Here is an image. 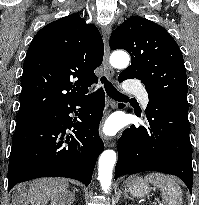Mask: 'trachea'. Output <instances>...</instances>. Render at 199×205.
I'll return each mask as SVG.
<instances>
[{"label": "trachea", "instance_id": "3493384b", "mask_svg": "<svg viewBox=\"0 0 199 205\" xmlns=\"http://www.w3.org/2000/svg\"><path fill=\"white\" fill-rule=\"evenodd\" d=\"M101 83L104 84V88L106 93L115 100H122V99H126L127 96L123 95L122 93H120L119 91H117V89L112 85V83L110 81L107 80V78L105 76L101 77Z\"/></svg>", "mask_w": 199, "mask_h": 205}]
</instances>
